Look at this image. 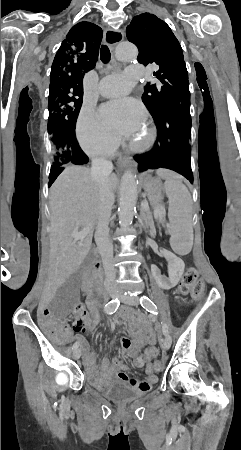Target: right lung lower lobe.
Returning <instances> with one entry per match:
<instances>
[{
	"label": "right lung lower lobe",
	"mask_w": 241,
	"mask_h": 450,
	"mask_svg": "<svg viewBox=\"0 0 241 450\" xmlns=\"http://www.w3.org/2000/svg\"><path fill=\"white\" fill-rule=\"evenodd\" d=\"M63 136L66 139V142L69 146V152H70V164H76V165H82L88 162V157L86 154L81 150L75 136V131L69 132L65 131L62 133ZM64 170V167L57 168L55 170H52L49 174V187L52 185V183L55 181V179L58 177V175Z\"/></svg>",
	"instance_id": "98d812e1"
}]
</instances>
